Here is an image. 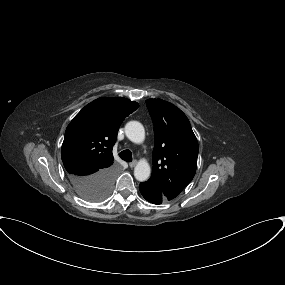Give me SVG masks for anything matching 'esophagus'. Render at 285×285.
I'll list each match as a JSON object with an SVG mask.
<instances>
[{"label":"esophagus","mask_w":285,"mask_h":285,"mask_svg":"<svg viewBox=\"0 0 285 285\" xmlns=\"http://www.w3.org/2000/svg\"><path fill=\"white\" fill-rule=\"evenodd\" d=\"M136 164H137V161L134 160V161H132V162L129 163V166H130L131 168H133Z\"/></svg>","instance_id":"1"}]
</instances>
